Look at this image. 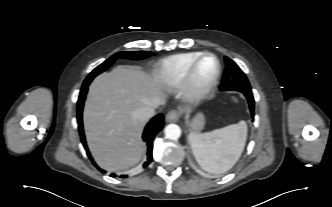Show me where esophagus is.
Masks as SVG:
<instances>
[{
  "label": "esophagus",
  "mask_w": 332,
  "mask_h": 207,
  "mask_svg": "<svg viewBox=\"0 0 332 207\" xmlns=\"http://www.w3.org/2000/svg\"><path fill=\"white\" fill-rule=\"evenodd\" d=\"M180 118V113L177 110H171L166 115V120L168 122H176Z\"/></svg>",
  "instance_id": "1"
}]
</instances>
